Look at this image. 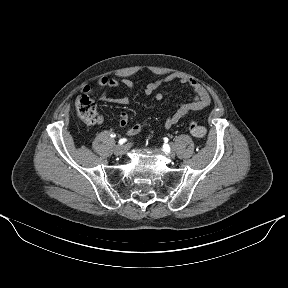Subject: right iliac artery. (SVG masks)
I'll use <instances>...</instances> for the list:
<instances>
[{
  "instance_id": "obj_1",
  "label": "right iliac artery",
  "mask_w": 288,
  "mask_h": 288,
  "mask_svg": "<svg viewBox=\"0 0 288 288\" xmlns=\"http://www.w3.org/2000/svg\"><path fill=\"white\" fill-rule=\"evenodd\" d=\"M110 136H111V137H115V134H114V133H111Z\"/></svg>"
}]
</instances>
